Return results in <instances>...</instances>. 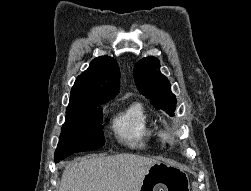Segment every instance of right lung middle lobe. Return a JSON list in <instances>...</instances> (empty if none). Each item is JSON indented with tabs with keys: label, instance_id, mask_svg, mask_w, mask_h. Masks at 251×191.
Here are the masks:
<instances>
[{
	"label": "right lung middle lobe",
	"instance_id": "dd1d6c3e",
	"mask_svg": "<svg viewBox=\"0 0 251 191\" xmlns=\"http://www.w3.org/2000/svg\"><path fill=\"white\" fill-rule=\"evenodd\" d=\"M100 105L85 106L66 112L54 161L80 151L99 149L105 143Z\"/></svg>",
	"mask_w": 251,
	"mask_h": 191
}]
</instances>
